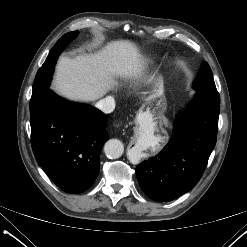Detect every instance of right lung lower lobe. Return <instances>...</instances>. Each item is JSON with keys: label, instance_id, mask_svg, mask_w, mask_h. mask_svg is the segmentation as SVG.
Wrapping results in <instances>:
<instances>
[{"label": "right lung lower lobe", "instance_id": "98d812e1", "mask_svg": "<svg viewBox=\"0 0 247 247\" xmlns=\"http://www.w3.org/2000/svg\"><path fill=\"white\" fill-rule=\"evenodd\" d=\"M106 120L100 110L64 100L51 90L30 112L34 156L63 191L82 193L93 185L109 137Z\"/></svg>", "mask_w": 247, "mask_h": 247}]
</instances>
